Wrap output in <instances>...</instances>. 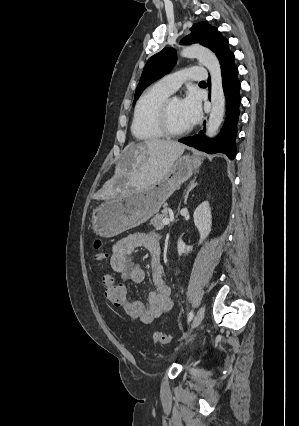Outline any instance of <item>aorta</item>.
I'll return each mask as SVG.
<instances>
[{
    "mask_svg": "<svg viewBox=\"0 0 299 426\" xmlns=\"http://www.w3.org/2000/svg\"><path fill=\"white\" fill-rule=\"evenodd\" d=\"M181 55L185 58L198 59L209 70L211 76V112L206 135L212 138L216 135L225 113V96L219 60L211 50L200 45L183 48Z\"/></svg>",
    "mask_w": 299,
    "mask_h": 426,
    "instance_id": "762f6f07",
    "label": "aorta"
}]
</instances>
